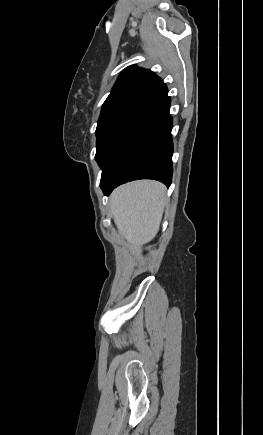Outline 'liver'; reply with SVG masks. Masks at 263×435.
I'll list each match as a JSON object with an SVG mask.
<instances>
[{
  "label": "liver",
  "mask_w": 263,
  "mask_h": 435,
  "mask_svg": "<svg viewBox=\"0 0 263 435\" xmlns=\"http://www.w3.org/2000/svg\"><path fill=\"white\" fill-rule=\"evenodd\" d=\"M166 188L152 180L127 183L110 196L114 222L134 253L158 233L163 216Z\"/></svg>",
  "instance_id": "1"
}]
</instances>
